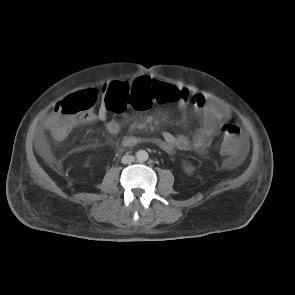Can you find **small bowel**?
<instances>
[{
	"instance_id": "small-bowel-1",
	"label": "small bowel",
	"mask_w": 295,
	"mask_h": 295,
	"mask_svg": "<svg viewBox=\"0 0 295 295\" xmlns=\"http://www.w3.org/2000/svg\"><path fill=\"white\" fill-rule=\"evenodd\" d=\"M153 81L147 76H141L126 83L130 87H136L142 82ZM105 85L103 91L107 88ZM176 89V102L179 110H185L189 104H193L196 113L202 118V126L191 136L175 135L170 132H164L161 138L152 139L151 141L166 153H172L175 149L193 150L196 152H204L211 144L213 138L217 135L223 125L230 119L229 110L214 101L208 100L203 94L193 92L185 86L172 85ZM109 107L105 102H102L97 113H89L82 121L86 122H102L105 123L106 130L112 134H117L120 129V123L115 119H109ZM55 111L48 116L44 123V129L50 131V126L55 119ZM140 138L135 136H126L122 140V145L132 147L140 142ZM38 142L45 147V135L41 132L38 137ZM230 156L226 160L229 167H235L241 161L243 155V144H240L236 152L228 153Z\"/></svg>"
}]
</instances>
